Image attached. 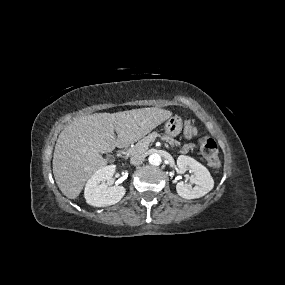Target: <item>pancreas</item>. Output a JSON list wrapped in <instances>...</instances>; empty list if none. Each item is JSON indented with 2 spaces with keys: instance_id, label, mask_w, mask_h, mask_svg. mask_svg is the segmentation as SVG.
Masks as SVG:
<instances>
[{
  "instance_id": "cf45deb5",
  "label": "pancreas",
  "mask_w": 285,
  "mask_h": 285,
  "mask_svg": "<svg viewBox=\"0 0 285 285\" xmlns=\"http://www.w3.org/2000/svg\"><path fill=\"white\" fill-rule=\"evenodd\" d=\"M157 137H160L161 140L165 141L166 143H168L172 147L180 146V142H178L177 140H174L170 136L160 135L157 132H152L148 136H146L143 139H141L140 141H138L133 147L129 148L127 150V155L134 156V155H138V154H143L144 152L147 151L149 144L152 143Z\"/></svg>"
}]
</instances>
